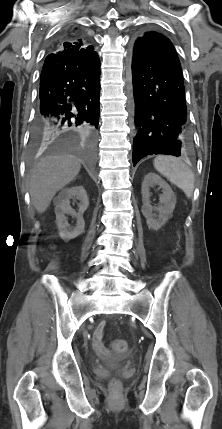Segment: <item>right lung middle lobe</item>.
<instances>
[{
  "label": "right lung middle lobe",
  "instance_id": "1",
  "mask_svg": "<svg viewBox=\"0 0 222 429\" xmlns=\"http://www.w3.org/2000/svg\"><path fill=\"white\" fill-rule=\"evenodd\" d=\"M49 138V135L45 134L42 130H36L32 132L33 146L37 147L42 142L45 143Z\"/></svg>",
  "mask_w": 222,
  "mask_h": 429
}]
</instances>
